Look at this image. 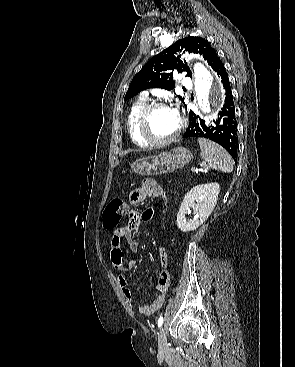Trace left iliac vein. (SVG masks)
Returning <instances> with one entry per match:
<instances>
[{"label":"left iliac vein","instance_id":"1","mask_svg":"<svg viewBox=\"0 0 295 367\" xmlns=\"http://www.w3.org/2000/svg\"><path fill=\"white\" fill-rule=\"evenodd\" d=\"M158 348L160 354H166L169 350L164 327L160 330L158 335Z\"/></svg>","mask_w":295,"mask_h":367}]
</instances>
